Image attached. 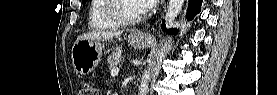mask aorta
I'll list each match as a JSON object with an SVG mask.
<instances>
[{
    "label": "aorta",
    "mask_w": 277,
    "mask_h": 95,
    "mask_svg": "<svg viewBox=\"0 0 277 95\" xmlns=\"http://www.w3.org/2000/svg\"><path fill=\"white\" fill-rule=\"evenodd\" d=\"M184 4V0H169L168 9L166 15V27L170 28L176 21L179 16L182 7ZM150 70H151V62L149 68L145 70L142 75L141 84L139 86V95H147L149 91V81H150Z\"/></svg>",
    "instance_id": "aorta-1"
}]
</instances>
